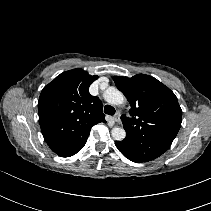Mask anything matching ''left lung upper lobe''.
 <instances>
[{
    "label": "left lung upper lobe",
    "mask_w": 211,
    "mask_h": 211,
    "mask_svg": "<svg viewBox=\"0 0 211 211\" xmlns=\"http://www.w3.org/2000/svg\"><path fill=\"white\" fill-rule=\"evenodd\" d=\"M113 80L131 105L132 118L122 116L127 135L120 145L143 162L159 157L170 148L181 127L182 110L175 94L145 74L114 76Z\"/></svg>",
    "instance_id": "5c2ea615"
}]
</instances>
